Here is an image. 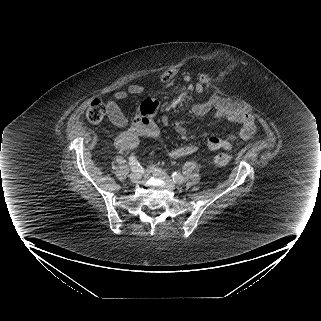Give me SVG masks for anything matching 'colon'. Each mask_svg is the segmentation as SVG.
Returning <instances> with one entry per match:
<instances>
[{"label":"colon","mask_w":321,"mask_h":321,"mask_svg":"<svg viewBox=\"0 0 321 321\" xmlns=\"http://www.w3.org/2000/svg\"><path fill=\"white\" fill-rule=\"evenodd\" d=\"M174 74L175 72L173 70L166 69L165 71L160 73L159 78L161 81L169 83L174 77ZM198 80L203 85H206L208 83L209 77L207 74L202 73L199 75ZM106 112L107 111L105 104L101 100L95 99L90 102L85 112V117L90 123L99 124L104 120ZM231 159L232 158L229 154L219 153L212 157L211 162L217 166H226L231 162Z\"/></svg>","instance_id":"obj_1"}]
</instances>
